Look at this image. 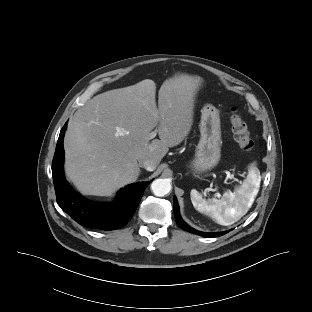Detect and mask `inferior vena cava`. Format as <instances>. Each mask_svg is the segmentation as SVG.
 Segmentation results:
<instances>
[{
    "mask_svg": "<svg viewBox=\"0 0 312 312\" xmlns=\"http://www.w3.org/2000/svg\"><path fill=\"white\" fill-rule=\"evenodd\" d=\"M140 167L145 168L147 171H154L157 167V164L152 159H139L138 160Z\"/></svg>",
    "mask_w": 312,
    "mask_h": 312,
    "instance_id": "1",
    "label": "inferior vena cava"
}]
</instances>
